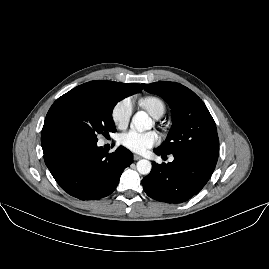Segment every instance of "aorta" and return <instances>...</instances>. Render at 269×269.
<instances>
[{
    "label": "aorta",
    "mask_w": 269,
    "mask_h": 269,
    "mask_svg": "<svg viewBox=\"0 0 269 269\" xmlns=\"http://www.w3.org/2000/svg\"><path fill=\"white\" fill-rule=\"evenodd\" d=\"M132 126L137 132H144L153 127V120L145 111H138L132 117ZM137 171L142 175H148L152 164L147 159H141L136 164Z\"/></svg>",
    "instance_id": "762f6f07"
}]
</instances>
